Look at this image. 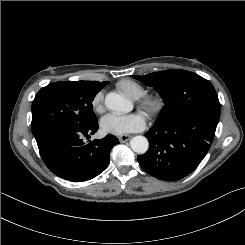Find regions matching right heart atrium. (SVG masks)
<instances>
[{
    "mask_svg": "<svg viewBox=\"0 0 245 245\" xmlns=\"http://www.w3.org/2000/svg\"><path fill=\"white\" fill-rule=\"evenodd\" d=\"M92 109L95 113H101L104 110V95L103 92H97L91 101Z\"/></svg>",
    "mask_w": 245,
    "mask_h": 245,
    "instance_id": "1",
    "label": "right heart atrium"
}]
</instances>
